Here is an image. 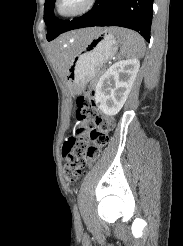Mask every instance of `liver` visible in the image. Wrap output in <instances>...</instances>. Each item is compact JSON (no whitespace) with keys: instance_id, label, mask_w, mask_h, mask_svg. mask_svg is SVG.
<instances>
[{"instance_id":"obj_1","label":"liver","mask_w":183,"mask_h":246,"mask_svg":"<svg viewBox=\"0 0 183 246\" xmlns=\"http://www.w3.org/2000/svg\"><path fill=\"white\" fill-rule=\"evenodd\" d=\"M98 28L91 29H82L56 40L52 45V50L54 57L56 59V63L60 69L61 76H65L67 73V69L69 66V56L64 50L65 42L70 38H76L81 42L89 41L93 38V36L97 33Z\"/></svg>"}]
</instances>
